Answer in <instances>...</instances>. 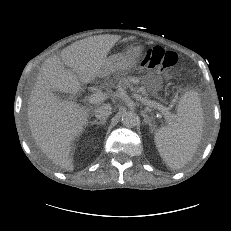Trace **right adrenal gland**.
Wrapping results in <instances>:
<instances>
[{
    "label": "right adrenal gland",
    "instance_id": "1",
    "mask_svg": "<svg viewBox=\"0 0 231 231\" xmlns=\"http://www.w3.org/2000/svg\"><path fill=\"white\" fill-rule=\"evenodd\" d=\"M105 123H106V120H100V121L94 120L90 124L91 125H94V124H96V125H100V124L104 125Z\"/></svg>",
    "mask_w": 231,
    "mask_h": 231
}]
</instances>
